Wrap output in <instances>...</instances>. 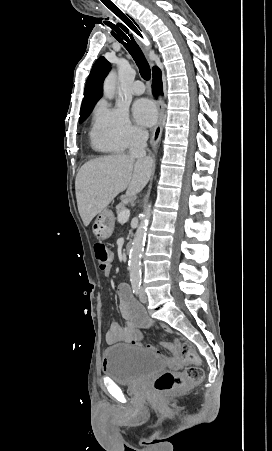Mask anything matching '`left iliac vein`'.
Masks as SVG:
<instances>
[{"mask_svg":"<svg viewBox=\"0 0 272 451\" xmlns=\"http://www.w3.org/2000/svg\"><path fill=\"white\" fill-rule=\"evenodd\" d=\"M140 301H141L142 303L147 302V296H146V293H145L144 288H142V289H141V292H140Z\"/></svg>","mask_w":272,"mask_h":451,"instance_id":"4c4485c4","label":"left iliac vein"}]
</instances>
